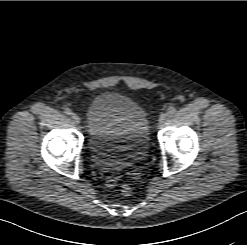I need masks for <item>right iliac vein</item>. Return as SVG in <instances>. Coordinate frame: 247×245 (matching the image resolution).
<instances>
[{
    "instance_id": "right-iliac-vein-1",
    "label": "right iliac vein",
    "mask_w": 247,
    "mask_h": 245,
    "mask_svg": "<svg viewBox=\"0 0 247 245\" xmlns=\"http://www.w3.org/2000/svg\"><path fill=\"white\" fill-rule=\"evenodd\" d=\"M71 118H72V120H73V122L75 124H79L80 123V118H79V116L76 113H72L71 114Z\"/></svg>"
}]
</instances>
